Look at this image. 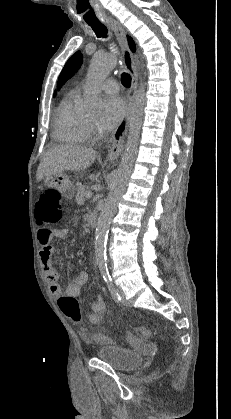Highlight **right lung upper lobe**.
<instances>
[{
    "mask_svg": "<svg viewBox=\"0 0 231 419\" xmlns=\"http://www.w3.org/2000/svg\"><path fill=\"white\" fill-rule=\"evenodd\" d=\"M128 43H129L130 49H131L133 52H135V50H136V46H135L134 41H133L130 37H128ZM54 95H55V93H54Z\"/></svg>",
    "mask_w": 231,
    "mask_h": 419,
    "instance_id": "right-lung-upper-lobe-1",
    "label": "right lung upper lobe"
}]
</instances>
